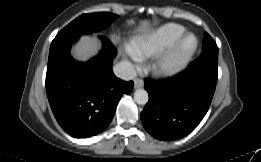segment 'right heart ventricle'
I'll use <instances>...</instances> for the list:
<instances>
[{
  "label": "right heart ventricle",
  "mask_w": 261,
  "mask_h": 162,
  "mask_svg": "<svg viewBox=\"0 0 261 162\" xmlns=\"http://www.w3.org/2000/svg\"><path fill=\"white\" fill-rule=\"evenodd\" d=\"M184 33L183 26L166 24L135 39L131 49L138 58L157 55L171 46Z\"/></svg>",
  "instance_id": "1"
}]
</instances>
